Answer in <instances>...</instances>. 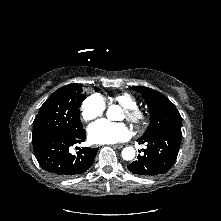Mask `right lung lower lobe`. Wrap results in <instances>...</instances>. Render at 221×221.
I'll use <instances>...</instances> for the list:
<instances>
[{"label": "right lung lower lobe", "instance_id": "right-lung-lower-lobe-1", "mask_svg": "<svg viewBox=\"0 0 221 221\" xmlns=\"http://www.w3.org/2000/svg\"><path fill=\"white\" fill-rule=\"evenodd\" d=\"M85 138V130L73 135H48L33 142L34 154L45 171L59 177H75L92 166L98 151V148L83 147L76 155L71 154L70 148Z\"/></svg>", "mask_w": 221, "mask_h": 221}]
</instances>
